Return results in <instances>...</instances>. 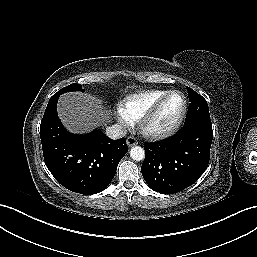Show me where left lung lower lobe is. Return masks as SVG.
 Listing matches in <instances>:
<instances>
[{
	"label": "left lung lower lobe",
	"instance_id": "obj_1",
	"mask_svg": "<svg viewBox=\"0 0 257 257\" xmlns=\"http://www.w3.org/2000/svg\"><path fill=\"white\" fill-rule=\"evenodd\" d=\"M212 138V124L192 122L169 139L146 143L141 171L149 187L173 194L195 183L208 166Z\"/></svg>",
	"mask_w": 257,
	"mask_h": 257
}]
</instances>
